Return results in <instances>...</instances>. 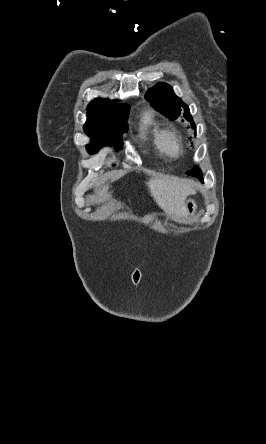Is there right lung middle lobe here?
Instances as JSON below:
<instances>
[{
    "label": "right lung middle lobe",
    "instance_id": "right-lung-middle-lobe-1",
    "mask_svg": "<svg viewBox=\"0 0 266 444\" xmlns=\"http://www.w3.org/2000/svg\"><path fill=\"white\" fill-rule=\"evenodd\" d=\"M129 108L127 104L111 103L88 111L84 131L92 139L86 146L90 154L97 153L104 145L122 146L121 136L127 131Z\"/></svg>",
    "mask_w": 266,
    "mask_h": 444
}]
</instances>
